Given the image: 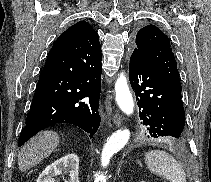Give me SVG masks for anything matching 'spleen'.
I'll list each match as a JSON object with an SVG mask.
<instances>
[{"label":"spleen","instance_id":"1","mask_svg":"<svg viewBox=\"0 0 211 182\" xmlns=\"http://www.w3.org/2000/svg\"><path fill=\"white\" fill-rule=\"evenodd\" d=\"M145 163L155 175L170 182H186V174L177 160L161 150H151L145 154Z\"/></svg>","mask_w":211,"mask_h":182}]
</instances>
